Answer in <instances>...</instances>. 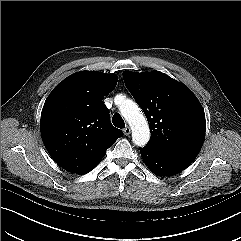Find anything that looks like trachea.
Returning <instances> with one entry per match:
<instances>
[{
  "label": "trachea",
  "instance_id": "trachea-1",
  "mask_svg": "<svg viewBox=\"0 0 241 241\" xmlns=\"http://www.w3.org/2000/svg\"><path fill=\"white\" fill-rule=\"evenodd\" d=\"M112 122H113L115 127H118V128H124L125 127L124 120L122 119V117L118 113L113 115Z\"/></svg>",
  "mask_w": 241,
  "mask_h": 241
}]
</instances>
